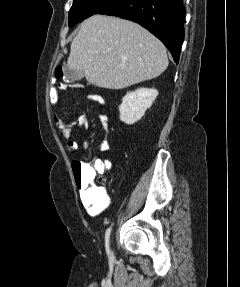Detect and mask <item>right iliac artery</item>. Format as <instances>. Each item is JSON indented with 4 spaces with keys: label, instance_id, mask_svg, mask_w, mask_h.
<instances>
[{
    "label": "right iliac artery",
    "instance_id": "obj_1",
    "mask_svg": "<svg viewBox=\"0 0 240 287\" xmlns=\"http://www.w3.org/2000/svg\"><path fill=\"white\" fill-rule=\"evenodd\" d=\"M110 234H111V227H109V228L106 230V233H105V245H106V250H107V253H108V254H109V252H110V250H109Z\"/></svg>",
    "mask_w": 240,
    "mask_h": 287
}]
</instances>
